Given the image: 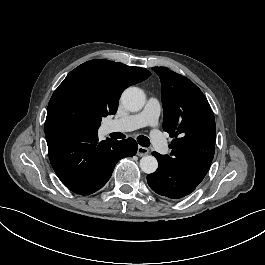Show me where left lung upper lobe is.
Instances as JSON below:
<instances>
[{
    "instance_id": "obj_1",
    "label": "left lung upper lobe",
    "mask_w": 265,
    "mask_h": 265,
    "mask_svg": "<svg viewBox=\"0 0 265 265\" xmlns=\"http://www.w3.org/2000/svg\"><path fill=\"white\" fill-rule=\"evenodd\" d=\"M160 77L164 111L163 129L174 137L170 155H160L169 165L200 184L215 152L216 125L201 90L188 78L166 67L152 68Z\"/></svg>"
}]
</instances>
